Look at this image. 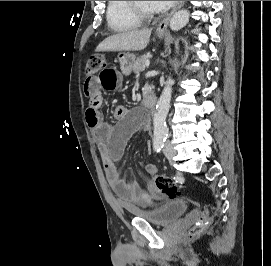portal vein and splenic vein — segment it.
Instances as JSON below:
<instances>
[{"mask_svg": "<svg viewBox=\"0 0 271 266\" xmlns=\"http://www.w3.org/2000/svg\"><path fill=\"white\" fill-rule=\"evenodd\" d=\"M149 65H150V61L147 60V61L145 62V66L148 67Z\"/></svg>", "mask_w": 271, "mask_h": 266, "instance_id": "1", "label": "portal vein and splenic vein"}]
</instances>
